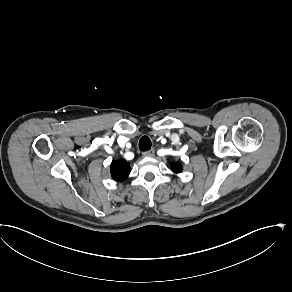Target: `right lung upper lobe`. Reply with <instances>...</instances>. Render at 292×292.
<instances>
[{"instance_id":"cb5924a9","label":"right lung upper lobe","mask_w":292,"mask_h":292,"mask_svg":"<svg viewBox=\"0 0 292 292\" xmlns=\"http://www.w3.org/2000/svg\"><path fill=\"white\" fill-rule=\"evenodd\" d=\"M130 173V164L125 160H113L111 163V176L117 182H123Z\"/></svg>"}]
</instances>
